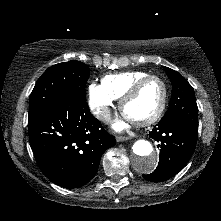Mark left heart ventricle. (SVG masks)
I'll return each mask as SVG.
<instances>
[{
    "instance_id": "obj_1",
    "label": "left heart ventricle",
    "mask_w": 221,
    "mask_h": 221,
    "mask_svg": "<svg viewBox=\"0 0 221 221\" xmlns=\"http://www.w3.org/2000/svg\"><path fill=\"white\" fill-rule=\"evenodd\" d=\"M161 98V84L157 80H151L127 103L125 114L133 120L146 119L156 112L160 105Z\"/></svg>"
}]
</instances>
